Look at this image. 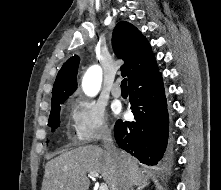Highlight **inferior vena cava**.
Wrapping results in <instances>:
<instances>
[{"instance_id":"602c4592","label":"inferior vena cava","mask_w":221,"mask_h":190,"mask_svg":"<svg viewBox=\"0 0 221 190\" xmlns=\"http://www.w3.org/2000/svg\"><path fill=\"white\" fill-rule=\"evenodd\" d=\"M103 146L110 153V155L113 157V159L120 165L122 166V176L119 181V186L117 190H133L132 189V184L128 178L127 171L124 167L123 164V159L121 152L116 148V146L113 144L112 136L110 130H105L103 134Z\"/></svg>"}]
</instances>
